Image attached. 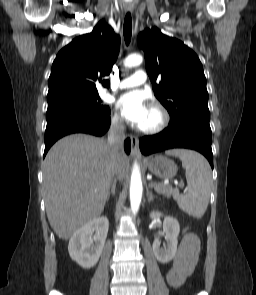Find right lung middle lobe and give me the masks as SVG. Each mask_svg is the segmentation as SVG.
<instances>
[{
	"label": "right lung middle lobe",
	"mask_w": 256,
	"mask_h": 295,
	"mask_svg": "<svg viewBox=\"0 0 256 295\" xmlns=\"http://www.w3.org/2000/svg\"><path fill=\"white\" fill-rule=\"evenodd\" d=\"M76 109L87 112H104L109 108L102 104L98 94L71 93L48 100V110Z\"/></svg>",
	"instance_id": "obj_1"
}]
</instances>
